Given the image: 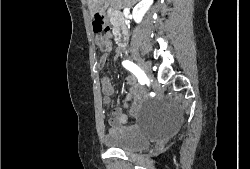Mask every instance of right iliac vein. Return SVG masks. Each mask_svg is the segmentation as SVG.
<instances>
[{
	"label": "right iliac vein",
	"instance_id": "63e3f726",
	"mask_svg": "<svg viewBox=\"0 0 250 169\" xmlns=\"http://www.w3.org/2000/svg\"><path fill=\"white\" fill-rule=\"evenodd\" d=\"M136 62L139 65V67L142 69V71H144V73L146 74V76L148 78H152V74L150 72L148 64L145 63L144 60H142V59H137Z\"/></svg>",
	"mask_w": 250,
	"mask_h": 169
}]
</instances>
